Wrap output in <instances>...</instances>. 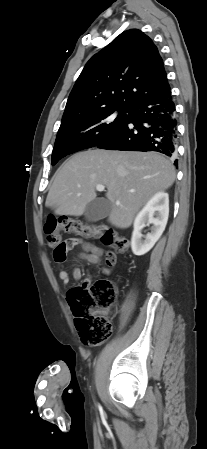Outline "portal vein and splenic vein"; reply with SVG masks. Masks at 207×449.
Returning <instances> with one entry per match:
<instances>
[{
	"mask_svg": "<svg viewBox=\"0 0 207 449\" xmlns=\"http://www.w3.org/2000/svg\"><path fill=\"white\" fill-rule=\"evenodd\" d=\"M96 190L97 191H104L105 190V186L101 185V184H97L96 185ZM130 192H134L133 190H131Z\"/></svg>",
	"mask_w": 207,
	"mask_h": 449,
	"instance_id": "portal-vein-and-splenic-vein-1",
	"label": "portal vein and splenic vein"
}]
</instances>
